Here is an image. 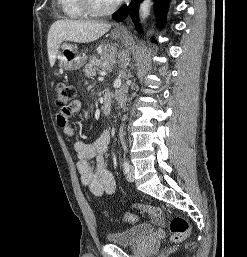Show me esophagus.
<instances>
[{
  "label": "esophagus",
  "mask_w": 247,
  "mask_h": 257,
  "mask_svg": "<svg viewBox=\"0 0 247 257\" xmlns=\"http://www.w3.org/2000/svg\"><path fill=\"white\" fill-rule=\"evenodd\" d=\"M115 31L116 32H123V31H126V27L124 25H120V26H117L115 28Z\"/></svg>",
  "instance_id": "esophagus-1"
}]
</instances>
